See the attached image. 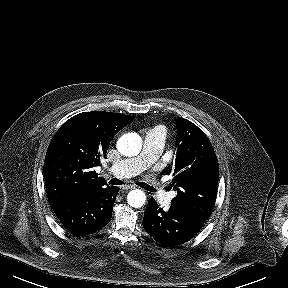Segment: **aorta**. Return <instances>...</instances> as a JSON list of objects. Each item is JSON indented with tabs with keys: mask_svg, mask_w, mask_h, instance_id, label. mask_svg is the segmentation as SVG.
Listing matches in <instances>:
<instances>
[{
	"mask_svg": "<svg viewBox=\"0 0 288 288\" xmlns=\"http://www.w3.org/2000/svg\"><path fill=\"white\" fill-rule=\"evenodd\" d=\"M141 147L142 140L137 133L124 134L117 142L118 151L128 157L138 155ZM127 202L131 207L140 208L146 202V195L140 189L132 190L127 195Z\"/></svg>",
	"mask_w": 288,
	"mask_h": 288,
	"instance_id": "762f6f07",
	"label": "aorta"
}]
</instances>
